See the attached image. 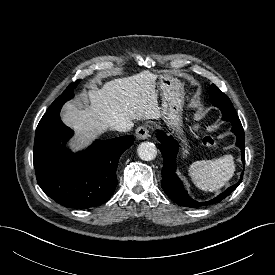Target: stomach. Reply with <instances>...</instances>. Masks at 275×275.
<instances>
[{
	"instance_id": "1",
	"label": "stomach",
	"mask_w": 275,
	"mask_h": 275,
	"mask_svg": "<svg viewBox=\"0 0 275 275\" xmlns=\"http://www.w3.org/2000/svg\"><path fill=\"white\" fill-rule=\"evenodd\" d=\"M161 90V113L162 118L169 129L178 136L183 137L182 130V110L184 106V88L180 80L170 74L159 76ZM182 158H186L189 153V146L185 138L182 139Z\"/></svg>"
}]
</instances>
